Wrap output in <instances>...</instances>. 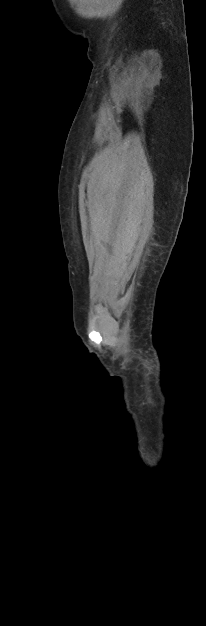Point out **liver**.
Returning <instances> with one entry per match:
<instances>
[{
	"label": "liver",
	"mask_w": 206,
	"mask_h": 626,
	"mask_svg": "<svg viewBox=\"0 0 206 626\" xmlns=\"http://www.w3.org/2000/svg\"><path fill=\"white\" fill-rule=\"evenodd\" d=\"M90 216H91V219L93 220V222H96L95 213L93 211H90Z\"/></svg>",
	"instance_id": "liver-1"
}]
</instances>
